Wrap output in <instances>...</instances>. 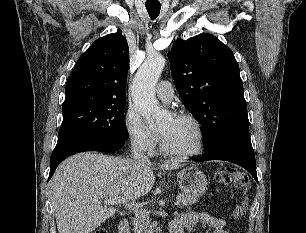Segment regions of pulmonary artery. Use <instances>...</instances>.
Listing matches in <instances>:
<instances>
[{
    "mask_svg": "<svg viewBox=\"0 0 306 233\" xmlns=\"http://www.w3.org/2000/svg\"><path fill=\"white\" fill-rule=\"evenodd\" d=\"M156 95L163 102H169L173 97V87L169 81H161L156 87Z\"/></svg>",
    "mask_w": 306,
    "mask_h": 233,
    "instance_id": "pulmonary-artery-1",
    "label": "pulmonary artery"
}]
</instances>
